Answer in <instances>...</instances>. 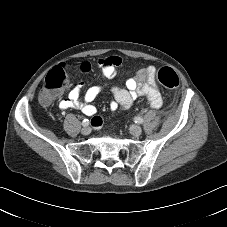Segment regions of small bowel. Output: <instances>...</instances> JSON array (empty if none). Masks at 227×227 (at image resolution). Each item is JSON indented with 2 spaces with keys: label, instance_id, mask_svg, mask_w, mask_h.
Wrapping results in <instances>:
<instances>
[{
  "label": "small bowel",
  "instance_id": "obj_1",
  "mask_svg": "<svg viewBox=\"0 0 227 227\" xmlns=\"http://www.w3.org/2000/svg\"><path fill=\"white\" fill-rule=\"evenodd\" d=\"M104 79H110L124 62L116 56H106L97 62ZM156 69L153 66L140 70L135 77L126 80V88L112 86L111 92L114 99L110 103L112 110H126L138 96H145L152 108L158 109L162 105L159 89L155 82ZM85 82H79L70 91L64 93V97L59 102L60 109L76 108L80 109L86 116L96 114L94 100L100 94L102 88L98 85L87 88L84 92ZM83 93V97L81 95Z\"/></svg>",
  "mask_w": 227,
  "mask_h": 227
}]
</instances>
